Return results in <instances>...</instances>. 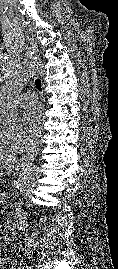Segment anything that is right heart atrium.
I'll list each match as a JSON object with an SVG mask.
<instances>
[{"mask_svg": "<svg viewBox=\"0 0 118 269\" xmlns=\"http://www.w3.org/2000/svg\"><path fill=\"white\" fill-rule=\"evenodd\" d=\"M30 138L18 123L4 124L0 120V143L15 149L28 145Z\"/></svg>", "mask_w": 118, "mask_h": 269, "instance_id": "1", "label": "right heart atrium"}]
</instances>
